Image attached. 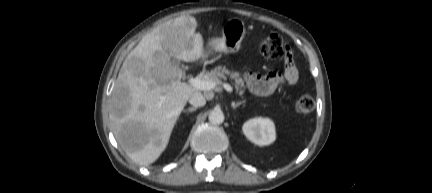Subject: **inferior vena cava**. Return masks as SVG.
<instances>
[{"mask_svg": "<svg viewBox=\"0 0 432 193\" xmlns=\"http://www.w3.org/2000/svg\"><path fill=\"white\" fill-rule=\"evenodd\" d=\"M189 102L195 107H201L206 104V99L201 92L196 91L191 95Z\"/></svg>", "mask_w": 432, "mask_h": 193, "instance_id": "602c4592", "label": "inferior vena cava"}]
</instances>
